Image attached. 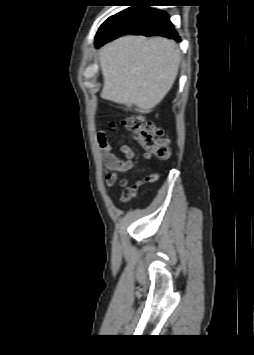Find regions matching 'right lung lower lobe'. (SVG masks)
<instances>
[{"mask_svg": "<svg viewBox=\"0 0 254 355\" xmlns=\"http://www.w3.org/2000/svg\"><path fill=\"white\" fill-rule=\"evenodd\" d=\"M153 2L157 1H139L129 5L133 7L111 16L96 38L95 46L100 47L121 35L129 33L141 34L147 37L157 35L180 41V37L174 30L169 16L163 11L146 7L155 6L156 4H152Z\"/></svg>", "mask_w": 254, "mask_h": 355, "instance_id": "1", "label": "right lung lower lobe"}]
</instances>
